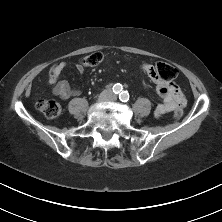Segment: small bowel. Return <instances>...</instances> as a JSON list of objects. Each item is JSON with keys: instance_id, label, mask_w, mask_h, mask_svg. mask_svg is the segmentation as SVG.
I'll return each mask as SVG.
<instances>
[{"instance_id": "small-bowel-1", "label": "small bowel", "mask_w": 222, "mask_h": 222, "mask_svg": "<svg viewBox=\"0 0 222 222\" xmlns=\"http://www.w3.org/2000/svg\"><path fill=\"white\" fill-rule=\"evenodd\" d=\"M65 66L66 64L63 62L56 63L49 71V83L54 84L52 92L54 95L59 96L62 99H68L71 96L79 94V91L72 89L67 81H57ZM75 67L80 73H83L85 70L82 64H76ZM142 68L149 77L154 78L152 79L157 84V92L162 98V102L156 106L154 111L156 117H160L163 114L184 106V95L175 83L166 82L155 67L150 64H144Z\"/></svg>"}]
</instances>
